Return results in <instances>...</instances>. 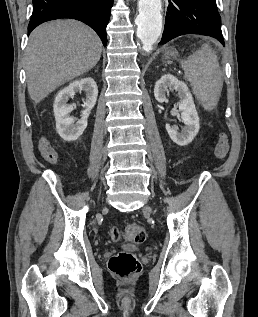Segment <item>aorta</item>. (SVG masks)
<instances>
[{"instance_id":"762f6f07","label":"aorta","mask_w":258,"mask_h":317,"mask_svg":"<svg viewBox=\"0 0 258 317\" xmlns=\"http://www.w3.org/2000/svg\"><path fill=\"white\" fill-rule=\"evenodd\" d=\"M139 15L136 18L137 37L142 49L150 52L162 30V0H139Z\"/></svg>"}]
</instances>
